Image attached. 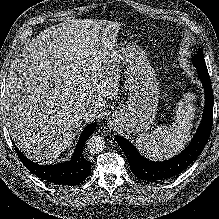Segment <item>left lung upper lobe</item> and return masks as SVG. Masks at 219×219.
<instances>
[{
  "instance_id": "left-lung-upper-lobe-1",
  "label": "left lung upper lobe",
  "mask_w": 219,
  "mask_h": 219,
  "mask_svg": "<svg viewBox=\"0 0 219 219\" xmlns=\"http://www.w3.org/2000/svg\"><path fill=\"white\" fill-rule=\"evenodd\" d=\"M192 63H193L194 66L206 67L204 56H203V49L202 48H200L198 50L197 54H195L193 56Z\"/></svg>"
}]
</instances>
